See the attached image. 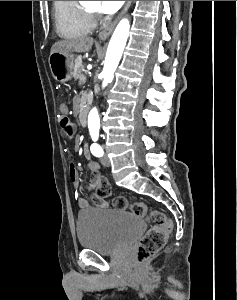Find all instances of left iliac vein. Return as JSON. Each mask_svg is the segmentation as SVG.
Segmentation results:
<instances>
[{
	"instance_id": "left-iliac-vein-1",
	"label": "left iliac vein",
	"mask_w": 237,
	"mask_h": 300,
	"mask_svg": "<svg viewBox=\"0 0 237 300\" xmlns=\"http://www.w3.org/2000/svg\"><path fill=\"white\" fill-rule=\"evenodd\" d=\"M101 163L106 167H109L111 165L110 160L106 155L102 156Z\"/></svg>"
}]
</instances>
